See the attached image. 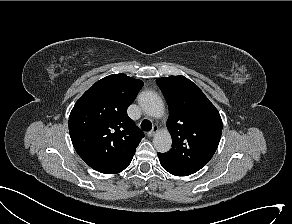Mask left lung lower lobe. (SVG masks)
I'll use <instances>...</instances> for the list:
<instances>
[{
	"label": "left lung lower lobe",
	"instance_id": "obj_1",
	"mask_svg": "<svg viewBox=\"0 0 292 224\" xmlns=\"http://www.w3.org/2000/svg\"><path fill=\"white\" fill-rule=\"evenodd\" d=\"M160 160V159H159ZM160 163L162 165V167L168 171L169 173H171L172 175H175V176H187V175H190V173H187V172H184L182 170H179L173 166H171L170 164L160 160Z\"/></svg>",
	"mask_w": 292,
	"mask_h": 224
}]
</instances>
